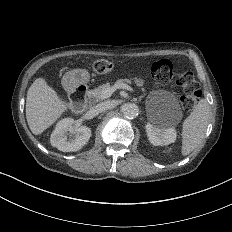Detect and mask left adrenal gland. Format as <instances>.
I'll return each mask as SVG.
<instances>
[{
  "instance_id": "left-adrenal-gland-1",
  "label": "left adrenal gland",
  "mask_w": 232,
  "mask_h": 232,
  "mask_svg": "<svg viewBox=\"0 0 232 232\" xmlns=\"http://www.w3.org/2000/svg\"><path fill=\"white\" fill-rule=\"evenodd\" d=\"M142 97H144V95H142V96L139 97V101L142 99Z\"/></svg>"
}]
</instances>
